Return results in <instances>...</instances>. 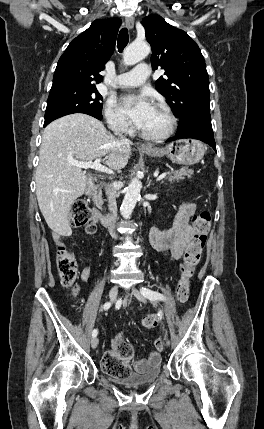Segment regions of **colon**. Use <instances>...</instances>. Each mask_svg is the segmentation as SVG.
<instances>
[{"label": "colon", "instance_id": "colon-1", "mask_svg": "<svg viewBox=\"0 0 264 429\" xmlns=\"http://www.w3.org/2000/svg\"><path fill=\"white\" fill-rule=\"evenodd\" d=\"M91 210L83 200L73 203L70 211V223L73 227H88L91 222ZM210 214L202 211L193 218V227L196 230V238L186 249L183 260L180 264V277L176 286V298L179 303H184L189 295L190 282L194 275L195 268L200 262L202 251L206 241V234L210 227ZM57 269L61 284L76 295L79 287L76 283L77 262L74 255L65 247H58L56 254ZM159 323L155 314H147L142 318V326L151 329ZM155 347L162 350L164 342L161 338L155 340ZM132 357V348L129 345H119L113 354L106 353L102 359V369L104 372L123 377L130 373L127 368V361Z\"/></svg>", "mask_w": 264, "mask_h": 429}]
</instances>
